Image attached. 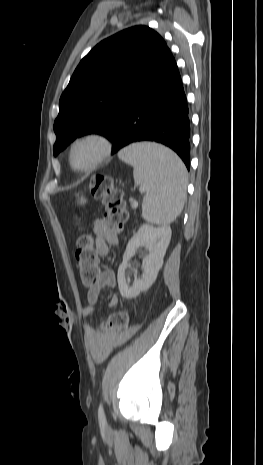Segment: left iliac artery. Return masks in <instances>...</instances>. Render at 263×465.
I'll list each match as a JSON object with an SVG mask.
<instances>
[{"mask_svg": "<svg viewBox=\"0 0 263 465\" xmlns=\"http://www.w3.org/2000/svg\"><path fill=\"white\" fill-rule=\"evenodd\" d=\"M98 419L100 424L105 425L106 424V417L103 409V405L100 404L98 408Z\"/></svg>", "mask_w": 263, "mask_h": 465, "instance_id": "1", "label": "left iliac artery"}]
</instances>
